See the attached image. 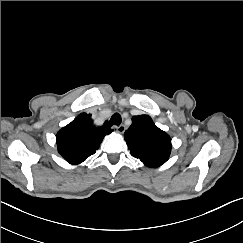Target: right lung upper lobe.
Instances as JSON below:
<instances>
[{"mask_svg":"<svg viewBox=\"0 0 243 243\" xmlns=\"http://www.w3.org/2000/svg\"><path fill=\"white\" fill-rule=\"evenodd\" d=\"M111 132L107 122L96 127L90 114L81 113L57 133L58 152L68 163L80 164L95 153L104 136Z\"/></svg>","mask_w":243,"mask_h":243,"instance_id":"cb5924a9","label":"right lung upper lobe"}]
</instances>
